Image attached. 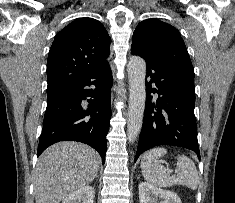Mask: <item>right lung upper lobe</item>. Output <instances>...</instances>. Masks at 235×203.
<instances>
[{"label":"right lung upper lobe","instance_id":"right-lung-upper-lobe-1","mask_svg":"<svg viewBox=\"0 0 235 203\" xmlns=\"http://www.w3.org/2000/svg\"><path fill=\"white\" fill-rule=\"evenodd\" d=\"M110 43L105 27L93 18H79L67 25L49 51L48 87L64 86L108 63Z\"/></svg>","mask_w":235,"mask_h":203}]
</instances>
